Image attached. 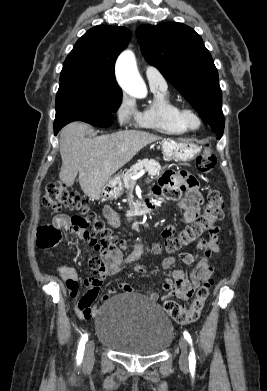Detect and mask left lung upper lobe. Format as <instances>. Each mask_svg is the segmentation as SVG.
I'll return each mask as SVG.
<instances>
[{"instance_id": "1", "label": "left lung upper lobe", "mask_w": 267, "mask_h": 391, "mask_svg": "<svg viewBox=\"0 0 267 391\" xmlns=\"http://www.w3.org/2000/svg\"><path fill=\"white\" fill-rule=\"evenodd\" d=\"M136 36L146 61L178 89L219 139L224 130L222 92L202 38L192 28L175 22L142 25Z\"/></svg>"}]
</instances>
